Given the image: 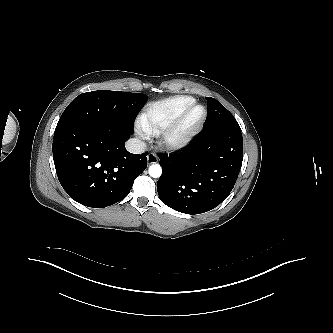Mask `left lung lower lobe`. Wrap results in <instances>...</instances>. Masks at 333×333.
Returning a JSON list of instances; mask_svg holds the SVG:
<instances>
[{
  "mask_svg": "<svg viewBox=\"0 0 333 333\" xmlns=\"http://www.w3.org/2000/svg\"><path fill=\"white\" fill-rule=\"evenodd\" d=\"M159 157L161 201L186 214L207 212L222 203L235 185L243 160L241 129L203 127L181 153Z\"/></svg>",
  "mask_w": 333,
  "mask_h": 333,
  "instance_id": "1",
  "label": "left lung lower lobe"
}]
</instances>
